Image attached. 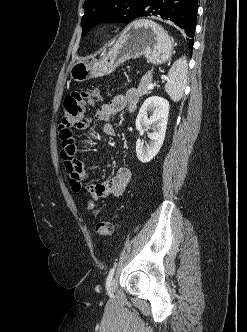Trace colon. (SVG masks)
Returning a JSON list of instances; mask_svg holds the SVG:
<instances>
[{"mask_svg":"<svg viewBox=\"0 0 247 332\" xmlns=\"http://www.w3.org/2000/svg\"><path fill=\"white\" fill-rule=\"evenodd\" d=\"M100 92L98 89L75 91L67 96L64 100V114L62 116L59 132L63 143L71 142L73 138L72 131L83 126L85 118L84 113L87 106H92L100 100ZM87 197V208L91 215L96 217L101 210L96 206L95 202ZM113 232V225L109 220L102 219L96 224V233L99 236H109Z\"/></svg>","mask_w":247,"mask_h":332,"instance_id":"obj_1","label":"colon"}]
</instances>
